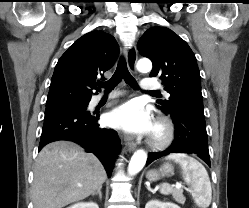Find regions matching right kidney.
<instances>
[{"mask_svg": "<svg viewBox=\"0 0 249 208\" xmlns=\"http://www.w3.org/2000/svg\"><path fill=\"white\" fill-rule=\"evenodd\" d=\"M67 208H99V206L94 202H88V203L81 202Z\"/></svg>", "mask_w": 249, "mask_h": 208, "instance_id": "obj_1", "label": "right kidney"}]
</instances>
